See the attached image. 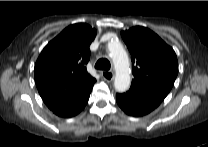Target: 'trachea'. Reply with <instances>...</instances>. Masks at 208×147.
<instances>
[{
  "label": "trachea",
  "instance_id": "1",
  "mask_svg": "<svg viewBox=\"0 0 208 147\" xmlns=\"http://www.w3.org/2000/svg\"><path fill=\"white\" fill-rule=\"evenodd\" d=\"M95 68L98 70H109L111 68V64L106 58H101L96 62Z\"/></svg>",
  "mask_w": 208,
  "mask_h": 147
}]
</instances>
